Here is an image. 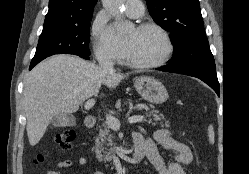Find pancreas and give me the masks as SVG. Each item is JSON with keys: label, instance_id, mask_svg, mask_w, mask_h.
I'll list each match as a JSON object with an SVG mask.
<instances>
[{"label": "pancreas", "instance_id": "pancreas-1", "mask_svg": "<svg viewBox=\"0 0 249 174\" xmlns=\"http://www.w3.org/2000/svg\"><path fill=\"white\" fill-rule=\"evenodd\" d=\"M129 107L133 108L132 102L129 103ZM148 109L149 106L146 104H139L135 107V109ZM150 108H152L150 106ZM149 116H152V119L149 120V122H152V124L160 123L161 126L169 127L170 124L166 119L164 118L163 114H160L156 110H152L149 114ZM96 145L94 147L96 158L99 161H111L113 159L114 155V148H113V142H114V136L110 133L109 127L107 125V122L103 123L100 126L99 135L95 139ZM110 147V148H109Z\"/></svg>", "mask_w": 249, "mask_h": 174}]
</instances>
